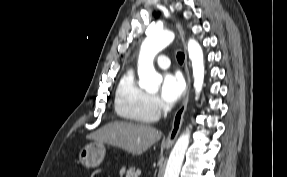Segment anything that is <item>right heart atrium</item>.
I'll return each instance as SVG.
<instances>
[{
    "label": "right heart atrium",
    "mask_w": 287,
    "mask_h": 177,
    "mask_svg": "<svg viewBox=\"0 0 287 177\" xmlns=\"http://www.w3.org/2000/svg\"><path fill=\"white\" fill-rule=\"evenodd\" d=\"M151 107L155 113L159 112L161 104L156 97H151Z\"/></svg>",
    "instance_id": "d8ad5b80"
}]
</instances>
